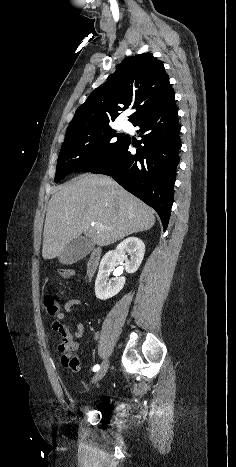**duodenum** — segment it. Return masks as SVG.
Masks as SVG:
<instances>
[{"label": "duodenum", "instance_id": "obj_1", "mask_svg": "<svg viewBox=\"0 0 236 467\" xmlns=\"http://www.w3.org/2000/svg\"><path fill=\"white\" fill-rule=\"evenodd\" d=\"M102 251L99 247L92 249L87 264H86V279L90 280L95 273L97 272L100 261H101Z\"/></svg>", "mask_w": 236, "mask_h": 467}]
</instances>
